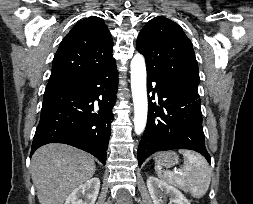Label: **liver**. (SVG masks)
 <instances>
[{"instance_id": "6515ba94", "label": "liver", "mask_w": 253, "mask_h": 204, "mask_svg": "<svg viewBox=\"0 0 253 204\" xmlns=\"http://www.w3.org/2000/svg\"><path fill=\"white\" fill-rule=\"evenodd\" d=\"M95 171L91 155L65 144L44 145L31 160L32 181L40 204H63Z\"/></svg>"}]
</instances>
